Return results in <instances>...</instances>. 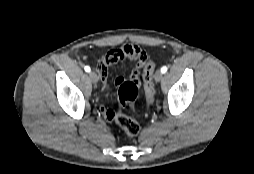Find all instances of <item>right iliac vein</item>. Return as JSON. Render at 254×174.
I'll return each mask as SVG.
<instances>
[{
    "label": "right iliac vein",
    "mask_w": 254,
    "mask_h": 174,
    "mask_svg": "<svg viewBox=\"0 0 254 174\" xmlns=\"http://www.w3.org/2000/svg\"><path fill=\"white\" fill-rule=\"evenodd\" d=\"M89 77L94 85H96L98 83V76L95 72L91 71L89 73Z\"/></svg>",
    "instance_id": "right-iliac-vein-1"
}]
</instances>
